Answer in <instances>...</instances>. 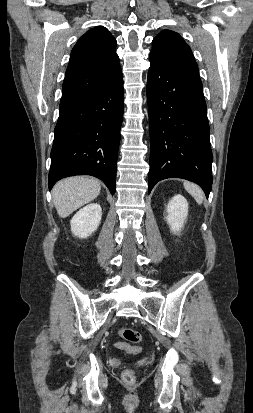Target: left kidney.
Returning <instances> with one entry per match:
<instances>
[{
    "instance_id": "1",
    "label": "left kidney",
    "mask_w": 253,
    "mask_h": 413,
    "mask_svg": "<svg viewBox=\"0 0 253 413\" xmlns=\"http://www.w3.org/2000/svg\"><path fill=\"white\" fill-rule=\"evenodd\" d=\"M166 221L171 232L179 234L188 215V202L182 195H175L167 205Z\"/></svg>"
}]
</instances>
